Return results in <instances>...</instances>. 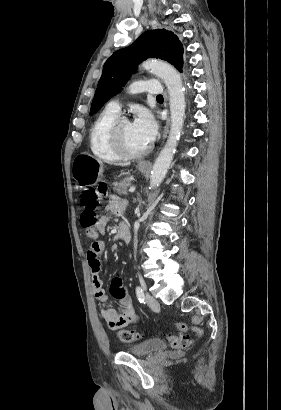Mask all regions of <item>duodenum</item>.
Instances as JSON below:
<instances>
[{"label":"duodenum","instance_id":"1","mask_svg":"<svg viewBox=\"0 0 281 410\" xmlns=\"http://www.w3.org/2000/svg\"><path fill=\"white\" fill-rule=\"evenodd\" d=\"M118 240L123 244H128L131 240L130 228L126 223L121 225Z\"/></svg>","mask_w":281,"mask_h":410}]
</instances>
